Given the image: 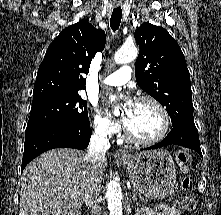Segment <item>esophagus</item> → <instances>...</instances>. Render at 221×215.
I'll return each instance as SVG.
<instances>
[{
  "label": "esophagus",
  "instance_id": "1",
  "mask_svg": "<svg viewBox=\"0 0 221 215\" xmlns=\"http://www.w3.org/2000/svg\"><path fill=\"white\" fill-rule=\"evenodd\" d=\"M115 156H117V157H124V156H126V154L123 151H121V150H117L115 152Z\"/></svg>",
  "mask_w": 221,
  "mask_h": 215
}]
</instances>
